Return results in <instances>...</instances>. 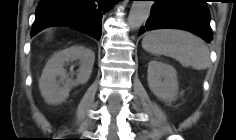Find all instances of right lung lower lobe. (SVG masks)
Masks as SVG:
<instances>
[{
	"mask_svg": "<svg viewBox=\"0 0 236 140\" xmlns=\"http://www.w3.org/2000/svg\"><path fill=\"white\" fill-rule=\"evenodd\" d=\"M116 1L41 0L36 9L31 35L51 26H69L99 40L102 17Z\"/></svg>",
	"mask_w": 236,
	"mask_h": 140,
	"instance_id": "1",
	"label": "right lung lower lobe"
}]
</instances>
